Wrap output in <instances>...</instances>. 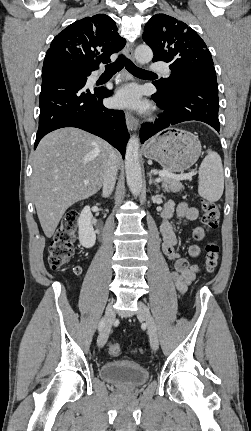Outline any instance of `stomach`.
I'll return each mask as SVG.
<instances>
[{
    "label": "stomach",
    "instance_id": "obj_1",
    "mask_svg": "<svg viewBox=\"0 0 251 431\" xmlns=\"http://www.w3.org/2000/svg\"><path fill=\"white\" fill-rule=\"evenodd\" d=\"M201 144L198 138L181 129L169 128L156 135L144 148L148 159L157 161L164 170L182 172L199 158Z\"/></svg>",
    "mask_w": 251,
    "mask_h": 431
}]
</instances>
